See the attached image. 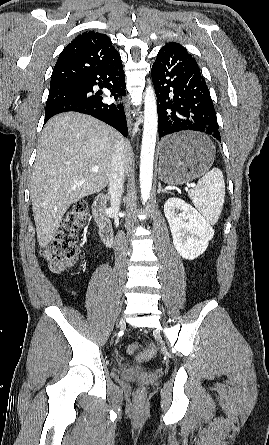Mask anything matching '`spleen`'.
<instances>
[{
	"instance_id": "1",
	"label": "spleen",
	"mask_w": 269,
	"mask_h": 445,
	"mask_svg": "<svg viewBox=\"0 0 269 445\" xmlns=\"http://www.w3.org/2000/svg\"><path fill=\"white\" fill-rule=\"evenodd\" d=\"M188 195L207 222L216 224L225 199V182L221 170L213 168L208 171L198 180L195 188L189 190Z\"/></svg>"
}]
</instances>
